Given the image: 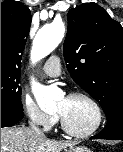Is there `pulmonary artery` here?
I'll return each instance as SVG.
<instances>
[{
    "label": "pulmonary artery",
    "mask_w": 123,
    "mask_h": 152,
    "mask_svg": "<svg viewBox=\"0 0 123 152\" xmlns=\"http://www.w3.org/2000/svg\"><path fill=\"white\" fill-rule=\"evenodd\" d=\"M43 71L46 75L51 77L59 76L61 72L59 57L56 55L49 57L43 65Z\"/></svg>",
    "instance_id": "obj_1"
}]
</instances>
